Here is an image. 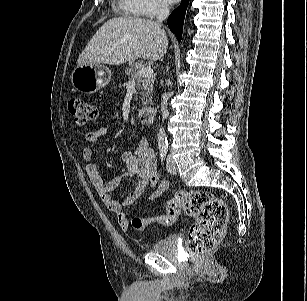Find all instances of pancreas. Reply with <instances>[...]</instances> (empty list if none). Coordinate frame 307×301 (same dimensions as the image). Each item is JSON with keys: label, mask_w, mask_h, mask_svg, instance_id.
Returning a JSON list of instances; mask_svg holds the SVG:
<instances>
[{"label": "pancreas", "mask_w": 307, "mask_h": 301, "mask_svg": "<svg viewBox=\"0 0 307 301\" xmlns=\"http://www.w3.org/2000/svg\"><path fill=\"white\" fill-rule=\"evenodd\" d=\"M146 67V63L142 61L138 62H129L128 66L125 68V74L129 80L135 79L137 89L140 91V100L139 104L148 105L152 102V93H153V83L154 79L144 78L138 76V71Z\"/></svg>", "instance_id": "pancreas-1"}]
</instances>
